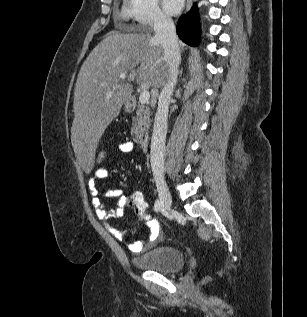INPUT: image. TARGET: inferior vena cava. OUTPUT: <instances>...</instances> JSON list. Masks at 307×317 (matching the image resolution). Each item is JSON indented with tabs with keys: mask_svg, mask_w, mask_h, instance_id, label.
Listing matches in <instances>:
<instances>
[{
	"mask_svg": "<svg viewBox=\"0 0 307 317\" xmlns=\"http://www.w3.org/2000/svg\"><path fill=\"white\" fill-rule=\"evenodd\" d=\"M154 31L155 39L161 44L164 58L169 67V79L159 96L150 150V162L153 175L155 178H162L164 175L168 111L170 99L177 83L180 52L175 25L169 16L160 14L154 23Z\"/></svg>",
	"mask_w": 307,
	"mask_h": 317,
	"instance_id": "obj_1",
	"label": "inferior vena cava"
}]
</instances>
